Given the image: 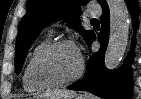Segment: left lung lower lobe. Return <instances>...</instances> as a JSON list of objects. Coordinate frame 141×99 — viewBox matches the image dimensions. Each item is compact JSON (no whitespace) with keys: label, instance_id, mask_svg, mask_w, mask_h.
<instances>
[{"label":"left lung lower lobe","instance_id":"0a47b994","mask_svg":"<svg viewBox=\"0 0 141 99\" xmlns=\"http://www.w3.org/2000/svg\"><path fill=\"white\" fill-rule=\"evenodd\" d=\"M126 3L132 14L133 27L136 29L138 26L137 16L139 13L137 0H126ZM102 9V28L98 35L100 49L89 59L84 78L67 88L71 90L90 91L92 94L104 99H131V54L119 70H107L104 65V52L109 39L110 13L107 4L104 5ZM94 39L95 34L93 32L87 43L91 44Z\"/></svg>","mask_w":141,"mask_h":99}]
</instances>
